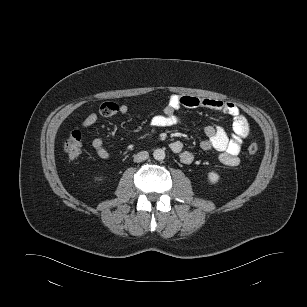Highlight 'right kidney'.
<instances>
[{
    "mask_svg": "<svg viewBox=\"0 0 307 307\" xmlns=\"http://www.w3.org/2000/svg\"><path fill=\"white\" fill-rule=\"evenodd\" d=\"M97 180H98V181H101V180H102V178H101V177H98V178H97Z\"/></svg>",
    "mask_w": 307,
    "mask_h": 307,
    "instance_id": "obj_1",
    "label": "right kidney"
}]
</instances>
